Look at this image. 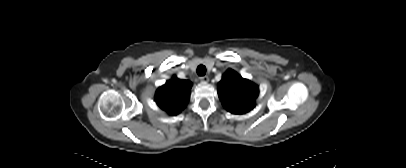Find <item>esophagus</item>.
Here are the masks:
<instances>
[{
  "instance_id": "34e87169",
  "label": "esophagus",
  "mask_w": 406,
  "mask_h": 168,
  "mask_svg": "<svg viewBox=\"0 0 406 168\" xmlns=\"http://www.w3.org/2000/svg\"><path fill=\"white\" fill-rule=\"evenodd\" d=\"M200 80L203 83H208L209 82V77L208 76H202V77H200Z\"/></svg>"
}]
</instances>
